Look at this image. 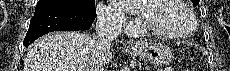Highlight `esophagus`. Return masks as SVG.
<instances>
[{
	"label": "esophagus",
	"instance_id": "34e87169",
	"mask_svg": "<svg viewBox=\"0 0 230 71\" xmlns=\"http://www.w3.org/2000/svg\"><path fill=\"white\" fill-rule=\"evenodd\" d=\"M127 45L129 47H138L140 44L138 42L134 41V40H128Z\"/></svg>",
	"mask_w": 230,
	"mask_h": 71
}]
</instances>
